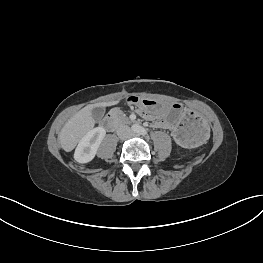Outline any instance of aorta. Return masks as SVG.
<instances>
[{
    "mask_svg": "<svg viewBox=\"0 0 263 263\" xmlns=\"http://www.w3.org/2000/svg\"><path fill=\"white\" fill-rule=\"evenodd\" d=\"M131 128H132V131L135 133L141 131V129H142V127L138 124H133Z\"/></svg>",
    "mask_w": 263,
    "mask_h": 263,
    "instance_id": "aorta-1",
    "label": "aorta"
}]
</instances>
